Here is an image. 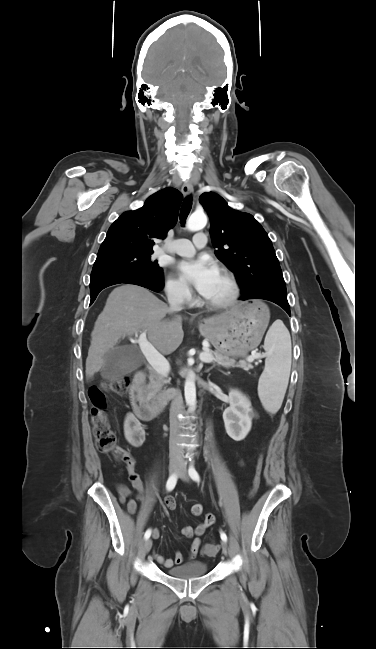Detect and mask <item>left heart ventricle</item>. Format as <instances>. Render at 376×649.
<instances>
[{
    "label": "left heart ventricle",
    "mask_w": 376,
    "mask_h": 649,
    "mask_svg": "<svg viewBox=\"0 0 376 649\" xmlns=\"http://www.w3.org/2000/svg\"><path fill=\"white\" fill-rule=\"evenodd\" d=\"M230 293V285L227 279L218 272L217 277L215 278L212 286L209 291L204 295L209 301L218 302L224 300Z\"/></svg>",
    "instance_id": "b2bd125f"
}]
</instances>
